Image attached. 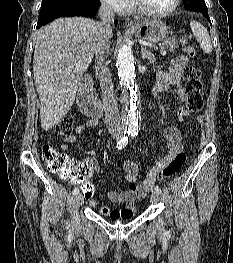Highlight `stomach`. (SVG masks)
I'll return each mask as SVG.
<instances>
[{
	"mask_svg": "<svg viewBox=\"0 0 233 263\" xmlns=\"http://www.w3.org/2000/svg\"><path fill=\"white\" fill-rule=\"evenodd\" d=\"M132 32L137 37L151 43L163 42L168 35L166 25L159 20H150L136 25Z\"/></svg>",
	"mask_w": 233,
	"mask_h": 263,
	"instance_id": "1",
	"label": "stomach"
}]
</instances>
